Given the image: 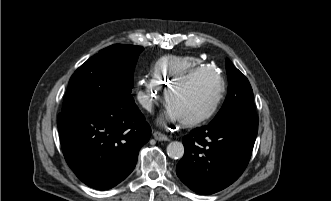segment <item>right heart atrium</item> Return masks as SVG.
Returning <instances> with one entry per match:
<instances>
[{
	"mask_svg": "<svg viewBox=\"0 0 331 201\" xmlns=\"http://www.w3.org/2000/svg\"><path fill=\"white\" fill-rule=\"evenodd\" d=\"M160 93L161 89L153 79H145L141 82V86L137 90V100L145 110L152 111L159 99Z\"/></svg>",
	"mask_w": 331,
	"mask_h": 201,
	"instance_id": "1",
	"label": "right heart atrium"
}]
</instances>
